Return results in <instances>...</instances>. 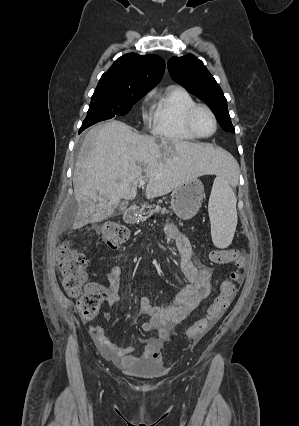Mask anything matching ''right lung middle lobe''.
Here are the masks:
<instances>
[{
  "label": "right lung middle lobe",
  "instance_id": "right-lung-middle-lobe-1",
  "mask_svg": "<svg viewBox=\"0 0 299 426\" xmlns=\"http://www.w3.org/2000/svg\"><path fill=\"white\" fill-rule=\"evenodd\" d=\"M146 93L123 94L111 89L96 88L80 132L100 121L127 114Z\"/></svg>",
  "mask_w": 299,
  "mask_h": 426
}]
</instances>
